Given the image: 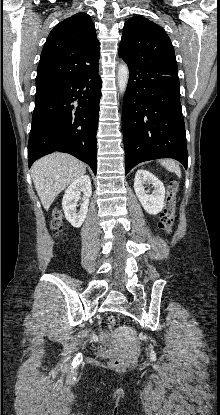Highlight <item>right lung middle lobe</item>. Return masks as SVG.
Listing matches in <instances>:
<instances>
[{"label":"right lung middle lobe","instance_id":"1","mask_svg":"<svg viewBox=\"0 0 220 415\" xmlns=\"http://www.w3.org/2000/svg\"><path fill=\"white\" fill-rule=\"evenodd\" d=\"M55 89V85L36 86V96L43 95Z\"/></svg>","mask_w":220,"mask_h":415}]
</instances>
